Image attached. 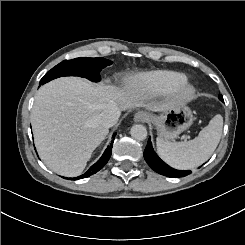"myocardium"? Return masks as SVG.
I'll use <instances>...</instances> for the list:
<instances>
[{"label":"myocardium","instance_id":"1","mask_svg":"<svg viewBox=\"0 0 245 245\" xmlns=\"http://www.w3.org/2000/svg\"><path fill=\"white\" fill-rule=\"evenodd\" d=\"M172 97L179 99L181 101L190 100L194 95V88L188 83L184 82L180 85H177L168 92Z\"/></svg>","mask_w":245,"mask_h":245}]
</instances>
